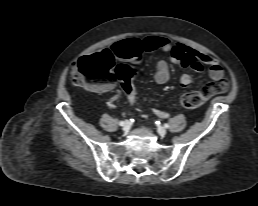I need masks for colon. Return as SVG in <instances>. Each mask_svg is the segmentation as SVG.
<instances>
[{"instance_id": "5ec220e1", "label": "colon", "mask_w": 258, "mask_h": 206, "mask_svg": "<svg viewBox=\"0 0 258 206\" xmlns=\"http://www.w3.org/2000/svg\"><path fill=\"white\" fill-rule=\"evenodd\" d=\"M138 66L136 64L116 65L114 57L107 52H99L78 59L72 67V80L81 87H93L107 82L120 81L129 101H134L137 85L134 82ZM228 82L221 79L205 85L200 91L186 93L179 104L184 108H197L214 95L225 93Z\"/></svg>"}]
</instances>
